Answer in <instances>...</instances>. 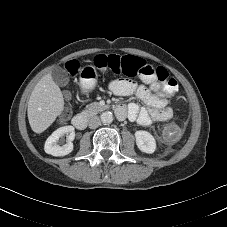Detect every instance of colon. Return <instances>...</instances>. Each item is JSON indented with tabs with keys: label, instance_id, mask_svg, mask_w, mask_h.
Listing matches in <instances>:
<instances>
[{
	"label": "colon",
	"instance_id": "colon-1",
	"mask_svg": "<svg viewBox=\"0 0 227 227\" xmlns=\"http://www.w3.org/2000/svg\"><path fill=\"white\" fill-rule=\"evenodd\" d=\"M96 67L102 72H111L113 74H123L126 76H148L163 83L165 91L172 95L178 91V83L175 79L169 78L167 70L162 66L145 65L142 60L134 56L120 57L118 55H97L94 59ZM79 68L75 61L69 64L68 72L74 75ZM70 112H65L63 119H67ZM184 130V124L181 131Z\"/></svg>",
	"mask_w": 227,
	"mask_h": 227
}]
</instances>
